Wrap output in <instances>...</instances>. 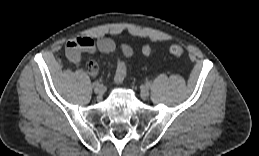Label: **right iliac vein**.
Masks as SVG:
<instances>
[{"instance_id": "obj_1", "label": "right iliac vein", "mask_w": 259, "mask_h": 156, "mask_svg": "<svg viewBox=\"0 0 259 156\" xmlns=\"http://www.w3.org/2000/svg\"><path fill=\"white\" fill-rule=\"evenodd\" d=\"M103 91H104V89H103V87H102L101 85H99V86H97V87L94 88V92H95L96 94H98V95H102V94H103Z\"/></svg>"}]
</instances>
